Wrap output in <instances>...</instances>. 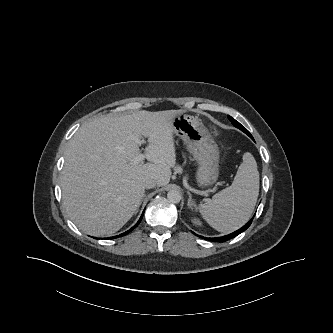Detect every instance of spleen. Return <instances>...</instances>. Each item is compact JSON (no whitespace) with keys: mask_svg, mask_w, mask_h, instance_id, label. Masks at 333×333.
Returning <instances> with one entry per match:
<instances>
[{"mask_svg":"<svg viewBox=\"0 0 333 333\" xmlns=\"http://www.w3.org/2000/svg\"><path fill=\"white\" fill-rule=\"evenodd\" d=\"M259 194V172L253 155L246 152L233 183L199 205L207 223L219 232L230 233L251 217Z\"/></svg>","mask_w":333,"mask_h":333,"instance_id":"1","label":"spleen"}]
</instances>
